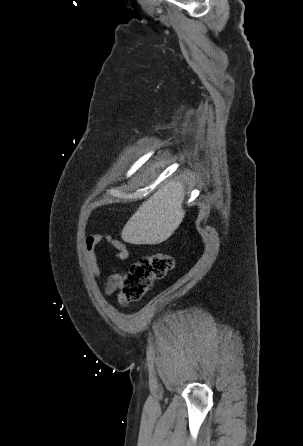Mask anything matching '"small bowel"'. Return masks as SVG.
<instances>
[{
    "instance_id": "1",
    "label": "small bowel",
    "mask_w": 303,
    "mask_h": 446,
    "mask_svg": "<svg viewBox=\"0 0 303 446\" xmlns=\"http://www.w3.org/2000/svg\"><path fill=\"white\" fill-rule=\"evenodd\" d=\"M107 240L114 250L115 256L119 260H126L129 256V252L123 242L118 239L113 238L107 234H92L85 239V253L88 268L92 278L97 279L100 276V268L98 266L95 249L100 241ZM126 272L119 270L117 267L111 268V274L107 277L104 282V292L107 295H112L116 291L117 296L121 303H125L123 295V284Z\"/></svg>"
}]
</instances>
